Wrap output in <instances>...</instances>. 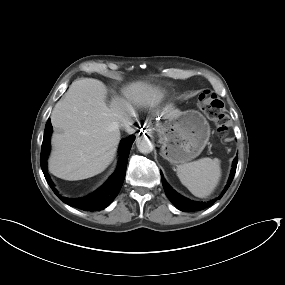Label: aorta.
<instances>
[{
    "instance_id": "aorta-1",
    "label": "aorta",
    "mask_w": 285,
    "mask_h": 285,
    "mask_svg": "<svg viewBox=\"0 0 285 285\" xmlns=\"http://www.w3.org/2000/svg\"><path fill=\"white\" fill-rule=\"evenodd\" d=\"M136 146L139 152L143 154H148L153 151L154 144L153 141L147 136H140L136 140Z\"/></svg>"
}]
</instances>
